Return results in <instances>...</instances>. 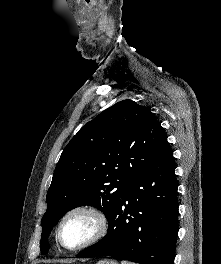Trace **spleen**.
Wrapping results in <instances>:
<instances>
[{
  "mask_svg": "<svg viewBox=\"0 0 221 264\" xmlns=\"http://www.w3.org/2000/svg\"><path fill=\"white\" fill-rule=\"evenodd\" d=\"M121 264H134V263H130V262H127V261H122Z\"/></svg>",
  "mask_w": 221,
  "mask_h": 264,
  "instance_id": "spleen-1",
  "label": "spleen"
}]
</instances>
